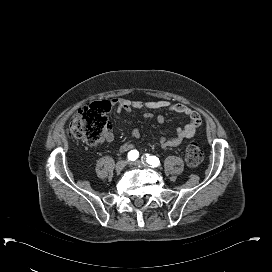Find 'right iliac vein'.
Returning a JSON list of instances; mask_svg holds the SVG:
<instances>
[{
	"mask_svg": "<svg viewBox=\"0 0 272 272\" xmlns=\"http://www.w3.org/2000/svg\"><path fill=\"white\" fill-rule=\"evenodd\" d=\"M127 164H128L127 160H120V161H118L116 163V165H115L116 171H118V172L122 171L126 167Z\"/></svg>",
	"mask_w": 272,
	"mask_h": 272,
	"instance_id": "1",
	"label": "right iliac vein"
}]
</instances>
